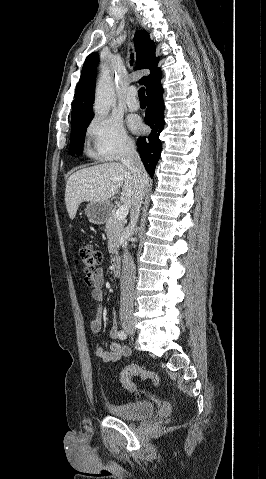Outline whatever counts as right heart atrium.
Masks as SVG:
<instances>
[{
	"label": "right heart atrium",
	"mask_w": 266,
	"mask_h": 479,
	"mask_svg": "<svg viewBox=\"0 0 266 479\" xmlns=\"http://www.w3.org/2000/svg\"><path fill=\"white\" fill-rule=\"evenodd\" d=\"M90 154L101 161H117L133 151V141L122 123L116 119L96 116L87 128Z\"/></svg>",
	"instance_id": "d8ad5b80"
}]
</instances>
